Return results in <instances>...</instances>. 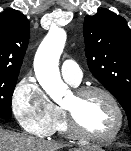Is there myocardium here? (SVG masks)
I'll return each instance as SVG.
<instances>
[{
    "label": "myocardium",
    "instance_id": "f54148a6",
    "mask_svg": "<svg viewBox=\"0 0 131 151\" xmlns=\"http://www.w3.org/2000/svg\"><path fill=\"white\" fill-rule=\"evenodd\" d=\"M94 94H100L106 97L114 107L118 117V123L115 130L110 135L107 136H97V135L90 134L81 127L76 113L72 109L62 106V110L65 115L68 130L71 135L79 139L94 141L99 143L111 142L119 136V134L123 129L124 122H125L123 108L120 102L118 101V99L115 97V95L103 87L85 86V87L77 88L73 92V96L78 102H81L87 97Z\"/></svg>",
    "mask_w": 131,
    "mask_h": 151
}]
</instances>
